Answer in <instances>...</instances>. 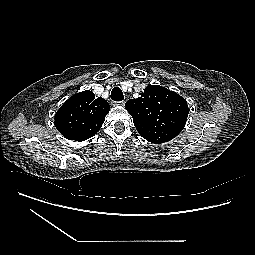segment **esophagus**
I'll return each instance as SVG.
<instances>
[{
	"label": "esophagus",
	"instance_id": "esophagus-1",
	"mask_svg": "<svg viewBox=\"0 0 255 255\" xmlns=\"http://www.w3.org/2000/svg\"><path fill=\"white\" fill-rule=\"evenodd\" d=\"M124 104H125V101L112 102V105H113V106H117V105L124 106Z\"/></svg>",
	"mask_w": 255,
	"mask_h": 255
}]
</instances>
